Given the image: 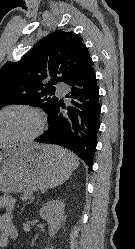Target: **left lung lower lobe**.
Here are the masks:
<instances>
[{"instance_id": "left-lung-lower-lobe-1", "label": "left lung lower lobe", "mask_w": 135, "mask_h": 249, "mask_svg": "<svg viewBox=\"0 0 135 249\" xmlns=\"http://www.w3.org/2000/svg\"><path fill=\"white\" fill-rule=\"evenodd\" d=\"M68 85L69 93L66 97L71 98L70 106L65 107L63 100H58L49 114L48 131L36 140L73 151L88 165L90 171L97 145L101 111L99 88L92 64L83 75Z\"/></svg>"}]
</instances>
